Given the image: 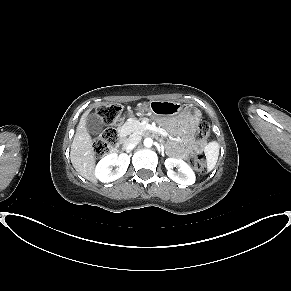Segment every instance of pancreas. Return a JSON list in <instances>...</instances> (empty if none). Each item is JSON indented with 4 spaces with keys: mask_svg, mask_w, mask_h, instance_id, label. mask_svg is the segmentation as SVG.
<instances>
[{
    "mask_svg": "<svg viewBox=\"0 0 291 291\" xmlns=\"http://www.w3.org/2000/svg\"><path fill=\"white\" fill-rule=\"evenodd\" d=\"M130 130L135 135H141L144 131V126L139 121H132L127 124Z\"/></svg>",
    "mask_w": 291,
    "mask_h": 291,
    "instance_id": "1",
    "label": "pancreas"
}]
</instances>
